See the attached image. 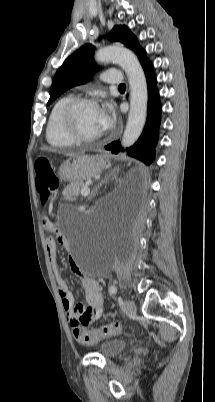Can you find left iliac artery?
Returning <instances> with one entry per match:
<instances>
[{
	"label": "left iliac artery",
	"mask_w": 215,
	"mask_h": 402,
	"mask_svg": "<svg viewBox=\"0 0 215 402\" xmlns=\"http://www.w3.org/2000/svg\"><path fill=\"white\" fill-rule=\"evenodd\" d=\"M117 292V287L116 286H111L110 288H109V293L111 294V295H113V294H115Z\"/></svg>",
	"instance_id": "left-iliac-artery-1"
}]
</instances>
